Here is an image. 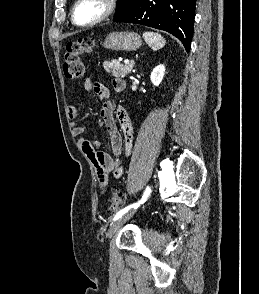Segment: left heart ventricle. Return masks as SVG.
<instances>
[{"label":"left heart ventricle","instance_id":"1","mask_svg":"<svg viewBox=\"0 0 259 294\" xmlns=\"http://www.w3.org/2000/svg\"><path fill=\"white\" fill-rule=\"evenodd\" d=\"M103 0H83L77 8L76 20L78 23H88L97 19L104 11Z\"/></svg>","mask_w":259,"mask_h":294}]
</instances>
